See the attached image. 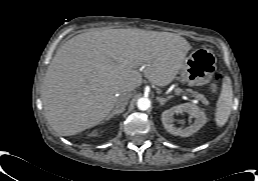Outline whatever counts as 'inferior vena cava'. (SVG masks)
<instances>
[{
  "label": "inferior vena cava",
  "instance_id": "1",
  "mask_svg": "<svg viewBox=\"0 0 258 181\" xmlns=\"http://www.w3.org/2000/svg\"><path fill=\"white\" fill-rule=\"evenodd\" d=\"M130 98H131V93H124L120 95L115 102L116 109L118 110L125 109Z\"/></svg>",
  "mask_w": 258,
  "mask_h": 181
}]
</instances>
